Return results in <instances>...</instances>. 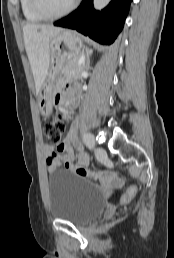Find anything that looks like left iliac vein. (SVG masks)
I'll list each match as a JSON object with an SVG mask.
<instances>
[{
  "label": "left iliac vein",
  "mask_w": 174,
  "mask_h": 258,
  "mask_svg": "<svg viewBox=\"0 0 174 258\" xmlns=\"http://www.w3.org/2000/svg\"><path fill=\"white\" fill-rule=\"evenodd\" d=\"M95 155L98 159H105L107 157L105 149L101 147L95 149Z\"/></svg>",
  "instance_id": "1"
}]
</instances>
